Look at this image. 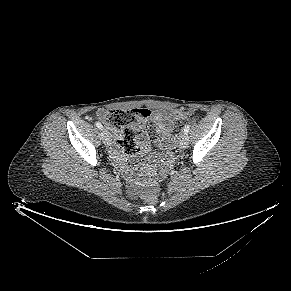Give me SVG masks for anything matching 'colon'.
Returning <instances> with one entry per match:
<instances>
[{
  "label": "colon",
  "mask_w": 291,
  "mask_h": 291,
  "mask_svg": "<svg viewBox=\"0 0 291 291\" xmlns=\"http://www.w3.org/2000/svg\"><path fill=\"white\" fill-rule=\"evenodd\" d=\"M150 112L147 109H132L128 111L109 109L102 114V121L115 138L116 143L127 156H137L140 147L137 143V132L145 125ZM171 118L184 120L188 112L176 109L170 114ZM146 201L155 203L158 192L155 187H149L143 194Z\"/></svg>",
  "instance_id": "1"
}]
</instances>
